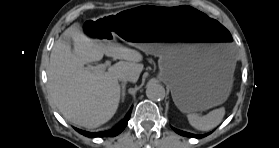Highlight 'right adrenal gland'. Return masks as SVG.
<instances>
[{"instance_id": "1", "label": "right adrenal gland", "mask_w": 279, "mask_h": 148, "mask_svg": "<svg viewBox=\"0 0 279 148\" xmlns=\"http://www.w3.org/2000/svg\"><path fill=\"white\" fill-rule=\"evenodd\" d=\"M125 86H126V82L121 84V87H122L121 88V90H122V92H121V95H122L121 100H122V102H124V98H125Z\"/></svg>"}]
</instances>
